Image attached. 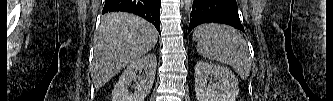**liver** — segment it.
Masks as SVG:
<instances>
[{"mask_svg":"<svg viewBox=\"0 0 333 101\" xmlns=\"http://www.w3.org/2000/svg\"><path fill=\"white\" fill-rule=\"evenodd\" d=\"M158 32L146 20L124 12L105 15L98 29L91 76L98 90L128 64L150 51Z\"/></svg>","mask_w":333,"mask_h":101,"instance_id":"liver-1","label":"liver"}]
</instances>
